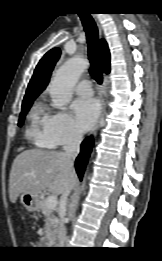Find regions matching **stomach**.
Wrapping results in <instances>:
<instances>
[{
    "mask_svg": "<svg viewBox=\"0 0 162 261\" xmlns=\"http://www.w3.org/2000/svg\"><path fill=\"white\" fill-rule=\"evenodd\" d=\"M20 200L23 206L30 212L38 210L41 203L38 196L29 193H23Z\"/></svg>",
    "mask_w": 162,
    "mask_h": 261,
    "instance_id": "stomach-1",
    "label": "stomach"
}]
</instances>
